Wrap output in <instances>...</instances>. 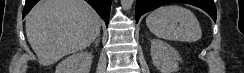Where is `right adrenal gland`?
I'll return each instance as SVG.
<instances>
[{"mask_svg": "<svg viewBox=\"0 0 244 73\" xmlns=\"http://www.w3.org/2000/svg\"><path fill=\"white\" fill-rule=\"evenodd\" d=\"M99 41H100V35H99V37L94 42L96 46L99 44Z\"/></svg>", "mask_w": 244, "mask_h": 73, "instance_id": "1", "label": "right adrenal gland"}]
</instances>
